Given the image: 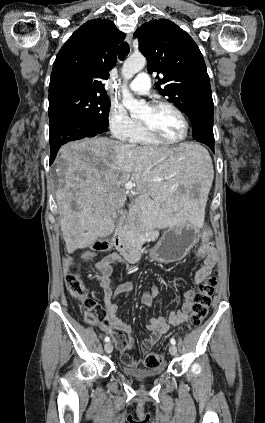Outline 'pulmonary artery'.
<instances>
[{"mask_svg": "<svg viewBox=\"0 0 265 423\" xmlns=\"http://www.w3.org/2000/svg\"><path fill=\"white\" fill-rule=\"evenodd\" d=\"M151 88L149 76L146 73H140L137 77L129 84V89L139 95L149 94Z\"/></svg>", "mask_w": 265, "mask_h": 423, "instance_id": "pulmonary-artery-1", "label": "pulmonary artery"}]
</instances>
